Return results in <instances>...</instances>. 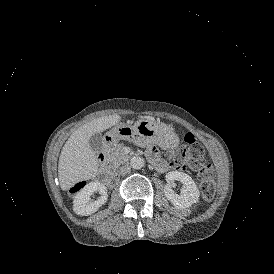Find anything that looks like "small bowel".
<instances>
[{
    "label": "small bowel",
    "mask_w": 274,
    "mask_h": 274,
    "mask_svg": "<svg viewBox=\"0 0 274 274\" xmlns=\"http://www.w3.org/2000/svg\"><path fill=\"white\" fill-rule=\"evenodd\" d=\"M147 156H148L149 161L153 165H155V163H157L159 160H161L158 155V150L155 147H152L147 151Z\"/></svg>",
    "instance_id": "obj_1"
}]
</instances>
